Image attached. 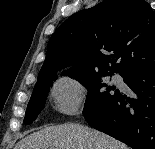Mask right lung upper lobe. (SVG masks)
Instances as JSON below:
<instances>
[{
  "label": "right lung upper lobe",
  "mask_w": 155,
  "mask_h": 149,
  "mask_svg": "<svg viewBox=\"0 0 155 149\" xmlns=\"http://www.w3.org/2000/svg\"><path fill=\"white\" fill-rule=\"evenodd\" d=\"M68 66L72 67L67 71L109 70L121 76L155 66V14L151 6L144 0H104L73 14L50 38L37 82Z\"/></svg>",
  "instance_id": "obj_1"
}]
</instances>
